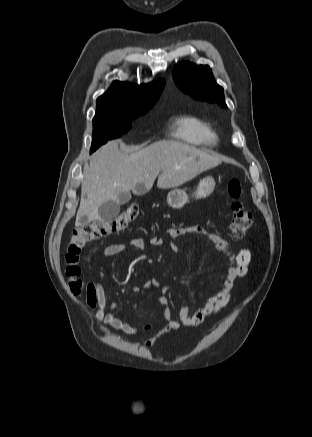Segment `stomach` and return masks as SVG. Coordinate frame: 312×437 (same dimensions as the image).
I'll return each instance as SVG.
<instances>
[{"label": "stomach", "instance_id": "obj_1", "mask_svg": "<svg viewBox=\"0 0 312 437\" xmlns=\"http://www.w3.org/2000/svg\"><path fill=\"white\" fill-rule=\"evenodd\" d=\"M214 188V178L212 176H207L200 181L196 190L192 194V198H207L213 192ZM187 202H189V195L185 190L175 188L167 195V204L173 209H181Z\"/></svg>", "mask_w": 312, "mask_h": 437}]
</instances>
